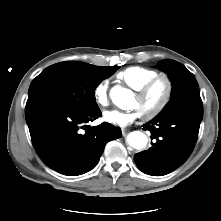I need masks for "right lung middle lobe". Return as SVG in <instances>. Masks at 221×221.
<instances>
[{
    "instance_id": "obj_1",
    "label": "right lung middle lobe",
    "mask_w": 221,
    "mask_h": 221,
    "mask_svg": "<svg viewBox=\"0 0 221 221\" xmlns=\"http://www.w3.org/2000/svg\"><path fill=\"white\" fill-rule=\"evenodd\" d=\"M118 68H89L72 61L49 66L32 81L26 105L52 104L81 112L98 109L95 89Z\"/></svg>"
}]
</instances>
